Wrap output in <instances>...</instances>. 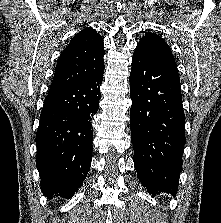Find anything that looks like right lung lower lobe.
<instances>
[{"label": "right lung lower lobe", "instance_id": "98d812e1", "mask_svg": "<svg viewBox=\"0 0 221 223\" xmlns=\"http://www.w3.org/2000/svg\"><path fill=\"white\" fill-rule=\"evenodd\" d=\"M104 69L74 86L49 92L36 134L41 189L69 198L88 174L92 160L90 121L99 109Z\"/></svg>", "mask_w": 221, "mask_h": 223}]
</instances>
